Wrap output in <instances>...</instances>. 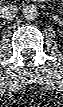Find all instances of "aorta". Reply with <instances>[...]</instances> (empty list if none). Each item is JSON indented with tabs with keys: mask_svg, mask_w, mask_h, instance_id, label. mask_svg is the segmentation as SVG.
Here are the masks:
<instances>
[{
	"mask_svg": "<svg viewBox=\"0 0 63 107\" xmlns=\"http://www.w3.org/2000/svg\"><path fill=\"white\" fill-rule=\"evenodd\" d=\"M23 17L27 20H34L38 16L37 7L33 4L26 5L22 10Z\"/></svg>",
	"mask_w": 63,
	"mask_h": 107,
	"instance_id": "762f6f07",
	"label": "aorta"
}]
</instances>
